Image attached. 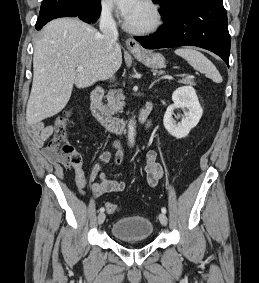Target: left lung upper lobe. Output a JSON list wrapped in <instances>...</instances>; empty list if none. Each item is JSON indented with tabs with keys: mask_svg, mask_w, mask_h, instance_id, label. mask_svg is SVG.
Wrapping results in <instances>:
<instances>
[{
	"mask_svg": "<svg viewBox=\"0 0 259 283\" xmlns=\"http://www.w3.org/2000/svg\"><path fill=\"white\" fill-rule=\"evenodd\" d=\"M153 1L158 2L161 5L162 10L160 11V13L163 17H167L183 9L189 3L195 0H153Z\"/></svg>",
	"mask_w": 259,
	"mask_h": 283,
	"instance_id": "obj_1",
	"label": "left lung upper lobe"
}]
</instances>
